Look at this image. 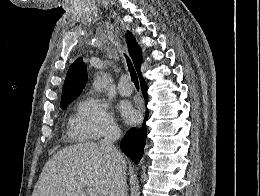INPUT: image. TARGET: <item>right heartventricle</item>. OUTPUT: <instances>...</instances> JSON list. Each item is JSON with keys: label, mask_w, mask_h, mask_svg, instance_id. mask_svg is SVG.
Listing matches in <instances>:
<instances>
[{"label": "right heart ventricle", "mask_w": 260, "mask_h": 196, "mask_svg": "<svg viewBox=\"0 0 260 196\" xmlns=\"http://www.w3.org/2000/svg\"><path fill=\"white\" fill-rule=\"evenodd\" d=\"M66 192H80V190H66Z\"/></svg>", "instance_id": "right-heart-ventricle-1"}]
</instances>
